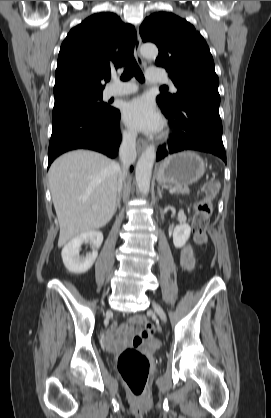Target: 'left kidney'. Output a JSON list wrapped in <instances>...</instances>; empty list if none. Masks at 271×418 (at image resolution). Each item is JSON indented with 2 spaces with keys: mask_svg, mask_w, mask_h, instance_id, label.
Wrapping results in <instances>:
<instances>
[{
  "mask_svg": "<svg viewBox=\"0 0 271 418\" xmlns=\"http://www.w3.org/2000/svg\"><path fill=\"white\" fill-rule=\"evenodd\" d=\"M191 228L185 222L180 223L174 228L173 243L176 248L182 247L190 237Z\"/></svg>",
  "mask_w": 271,
  "mask_h": 418,
  "instance_id": "left-kidney-1",
  "label": "left kidney"
}]
</instances>
